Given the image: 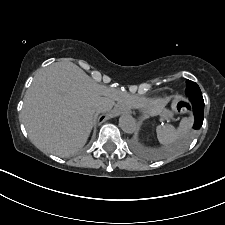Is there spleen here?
<instances>
[{"mask_svg": "<svg viewBox=\"0 0 225 225\" xmlns=\"http://www.w3.org/2000/svg\"><path fill=\"white\" fill-rule=\"evenodd\" d=\"M192 126V118H183L176 129L172 125H159L156 129L160 144L168 146L187 134Z\"/></svg>", "mask_w": 225, "mask_h": 225, "instance_id": "obj_1", "label": "spleen"}]
</instances>
